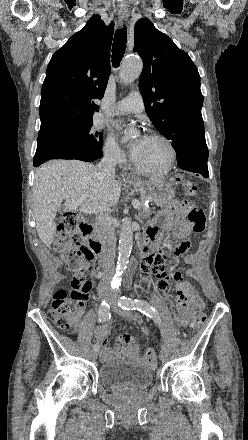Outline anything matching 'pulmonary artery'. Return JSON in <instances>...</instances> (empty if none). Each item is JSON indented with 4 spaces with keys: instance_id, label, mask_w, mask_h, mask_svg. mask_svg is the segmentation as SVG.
Wrapping results in <instances>:
<instances>
[{
    "instance_id": "1",
    "label": "pulmonary artery",
    "mask_w": 248,
    "mask_h": 440,
    "mask_svg": "<svg viewBox=\"0 0 248 440\" xmlns=\"http://www.w3.org/2000/svg\"><path fill=\"white\" fill-rule=\"evenodd\" d=\"M144 109L143 98L137 91L131 92L127 97L115 104L109 111L110 114L140 113Z\"/></svg>"
}]
</instances>
